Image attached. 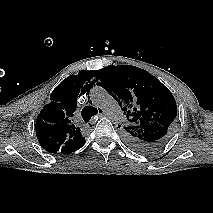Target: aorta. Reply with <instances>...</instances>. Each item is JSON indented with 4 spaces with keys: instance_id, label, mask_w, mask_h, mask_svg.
I'll list each match as a JSON object with an SVG mask.
<instances>
[{
    "instance_id": "obj_1",
    "label": "aorta",
    "mask_w": 213,
    "mask_h": 213,
    "mask_svg": "<svg viewBox=\"0 0 213 213\" xmlns=\"http://www.w3.org/2000/svg\"><path fill=\"white\" fill-rule=\"evenodd\" d=\"M92 103L101 108L110 121L119 124L124 120L123 112L117 101L100 86L93 87L90 92Z\"/></svg>"
}]
</instances>
